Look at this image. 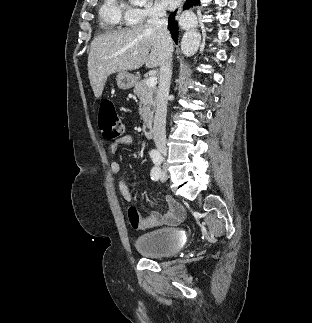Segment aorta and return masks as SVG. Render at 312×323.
<instances>
[{"label": "aorta", "instance_id": "1", "mask_svg": "<svg viewBox=\"0 0 312 323\" xmlns=\"http://www.w3.org/2000/svg\"><path fill=\"white\" fill-rule=\"evenodd\" d=\"M201 42V36L197 30H186L181 40V50L184 56H194Z\"/></svg>", "mask_w": 312, "mask_h": 323}]
</instances>
